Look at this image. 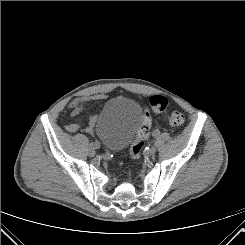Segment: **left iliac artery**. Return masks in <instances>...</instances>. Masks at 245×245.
<instances>
[{"instance_id":"obj_1","label":"left iliac artery","mask_w":245,"mask_h":245,"mask_svg":"<svg viewBox=\"0 0 245 245\" xmlns=\"http://www.w3.org/2000/svg\"><path fill=\"white\" fill-rule=\"evenodd\" d=\"M161 134H162V131L160 129H156L153 133V136L158 138L161 136Z\"/></svg>"}]
</instances>
